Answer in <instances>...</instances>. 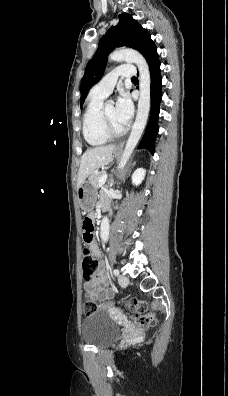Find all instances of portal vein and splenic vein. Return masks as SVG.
Masks as SVG:
<instances>
[{
  "label": "portal vein and splenic vein",
  "mask_w": 228,
  "mask_h": 396,
  "mask_svg": "<svg viewBox=\"0 0 228 396\" xmlns=\"http://www.w3.org/2000/svg\"><path fill=\"white\" fill-rule=\"evenodd\" d=\"M107 173L104 172V174L102 175V177L99 180V186H102L103 184H105L106 180H107Z\"/></svg>",
  "instance_id": "obj_1"
}]
</instances>
